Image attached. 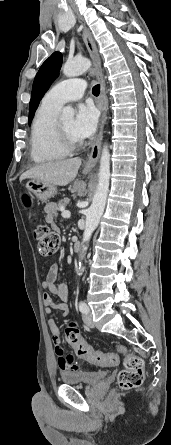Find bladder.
I'll use <instances>...</instances> for the list:
<instances>
[{"instance_id":"1","label":"bladder","mask_w":171,"mask_h":445,"mask_svg":"<svg viewBox=\"0 0 171 445\" xmlns=\"http://www.w3.org/2000/svg\"><path fill=\"white\" fill-rule=\"evenodd\" d=\"M107 374L106 370L65 371L61 379L68 385H91L104 379Z\"/></svg>"}]
</instances>
